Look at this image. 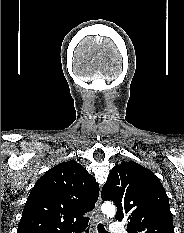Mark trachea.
<instances>
[{"label": "trachea", "instance_id": "1", "mask_svg": "<svg viewBox=\"0 0 184 233\" xmlns=\"http://www.w3.org/2000/svg\"><path fill=\"white\" fill-rule=\"evenodd\" d=\"M98 232H99V233H108V232L105 230V228H104V226H103L102 224H98Z\"/></svg>", "mask_w": 184, "mask_h": 233}]
</instances>
